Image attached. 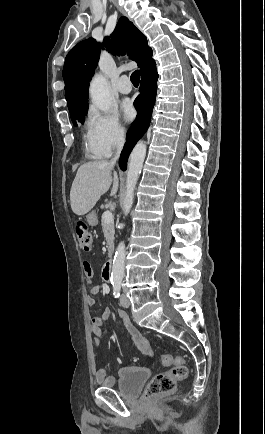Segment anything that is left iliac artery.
Masks as SVG:
<instances>
[{"label":"left iliac artery","mask_w":265,"mask_h":434,"mask_svg":"<svg viewBox=\"0 0 265 434\" xmlns=\"http://www.w3.org/2000/svg\"><path fill=\"white\" fill-rule=\"evenodd\" d=\"M120 289H121L120 282L113 283V295L115 296V298H118L120 296Z\"/></svg>","instance_id":"obj_1"}]
</instances>
